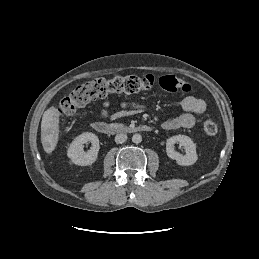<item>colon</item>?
Listing matches in <instances>:
<instances>
[{"label": "colon", "instance_id": "obj_1", "mask_svg": "<svg viewBox=\"0 0 259 259\" xmlns=\"http://www.w3.org/2000/svg\"><path fill=\"white\" fill-rule=\"evenodd\" d=\"M159 88L170 93H188L191 86L175 75H166L160 78L153 75H127L112 79L98 78L78 85L59 104L58 112L61 116H71L83 109L90 102L101 99L109 94H133ZM217 124L212 118L203 122V131L208 136L217 133Z\"/></svg>", "mask_w": 259, "mask_h": 259}]
</instances>
